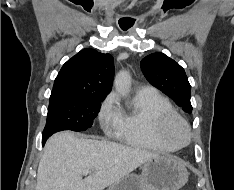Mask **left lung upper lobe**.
Instances as JSON below:
<instances>
[{"label": "left lung upper lobe", "mask_w": 234, "mask_h": 190, "mask_svg": "<svg viewBox=\"0 0 234 190\" xmlns=\"http://www.w3.org/2000/svg\"><path fill=\"white\" fill-rule=\"evenodd\" d=\"M140 66L149 83L172 98L186 112H192L191 86L178 63L158 52L142 59Z\"/></svg>", "instance_id": "5c2ea615"}]
</instances>
